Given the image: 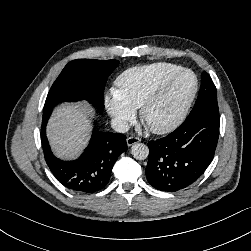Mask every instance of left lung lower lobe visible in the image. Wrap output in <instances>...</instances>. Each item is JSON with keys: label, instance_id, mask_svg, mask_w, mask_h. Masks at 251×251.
Listing matches in <instances>:
<instances>
[{"label": "left lung lower lobe", "instance_id": "obj_1", "mask_svg": "<svg viewBox=\"0 0 251 251\" xmlns=\"http://www.w3.org/2000/svg\"><path fill=\"white\" fill-rule=\"evenodd\" d=\"M219 126V117L188 116L166 137L150 141L145 169L149 184L167 192H176L193 184L214 157Z\"/></svg>", "mask_w": 251, "mask_h": 251}]
</instances>
